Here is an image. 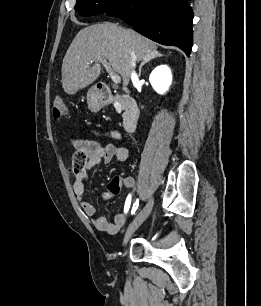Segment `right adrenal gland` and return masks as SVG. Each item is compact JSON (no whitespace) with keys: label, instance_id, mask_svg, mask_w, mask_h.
I'll return each instance as SVG.
<instances>
[{"label":"right adrenal gland","instance_id":"right-adrenal-gland-1","mask_svg":"<svg viewBox=\"0 0 261 306\" xmlns=\"http://www.w3.org/2000/svg\"><path fill=\"white\" fill-rule=\"evenodd\" d=\"M162 56H163L162 54L157 53V54L154 55L153 57H150V58H148V59H145V60L141 63V65L139 66V73H138V75H139V76L141 75L142 67H143L146 63H149V62L152 61L153 59H156V58L162 57Z\"/></svg>","mask_w":261,"mask_h":306}]
</instances>
